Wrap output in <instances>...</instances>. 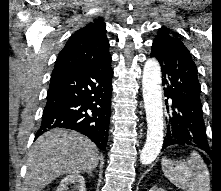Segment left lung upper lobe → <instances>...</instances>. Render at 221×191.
Masks as SVG:
<instances>
[{
  "label": "left lung upper lobe",
  "instance_id": "left-lung-upper-lobe-1",
  "mask_svg": "<svg viewBox=\"0 0 221 191\" xmlns=\"http://www.w3.org/2000/svg\"><path fill=\"white\" fill-rule=\"evenodd\" d=\"M174 38L170 35V31L169 29H167L166 27H162L159 29L157 36L155 37V40H164V41H169V40H173ZM208 142L207 138H205V144ZM209 147V145H208Z\"/></svg>",
  "mask_w": 221,
  "mask_h": 191
}]
</instances>
